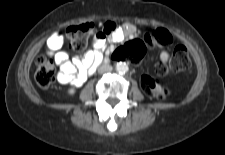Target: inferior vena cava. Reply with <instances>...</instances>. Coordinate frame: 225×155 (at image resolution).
Masks as SVG:
<instances>
[{"instance_id": "inferior-vena-cava-1", "label": "inferior vena cava", "mask_w": 225, "mask_h": 155, "mask_svg": "<svg viewBox=\"0 0 225 155\" xmlns=\"http://www.w3.org/2000/svg\"><path fill=\"white\" fill-rule=\"evenodd\" d=\"M112 70V67L110 65H102L99 67L98 72L99 73H105V72H110Z\"/></svg>"}]
</instances>
